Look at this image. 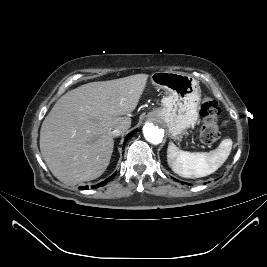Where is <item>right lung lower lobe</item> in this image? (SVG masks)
Listing matches in <instances>:
<instances>
[{
    "instance_id": "98d812e1",
    "label": "right lung lower lobe",
    "mask_w": 267,
    "mask_h": 267,
    "mask_svg": "<svg viewBox=\"0 0 267 267\" xmlns=\"http://www.w3.org/2000/svg\"><path fill=\"white\" fill-rule=\"evenodd\" d=\"M137 132V129H135L134 131H132L131 133H129L127 136H126V138H125V140H124V145H125V143H126V141L134 134V133H136ZM115 174L116 173H114L112 176H110L108 179H106L105 181H103V182H101V183H99V184H97V185H95V186H92V188H98V187H101V186H103V185H105L106 183H108L114 176H115ZM80 189H88V186H86V187H80Z\"/></svg>"
}]
</instances>
